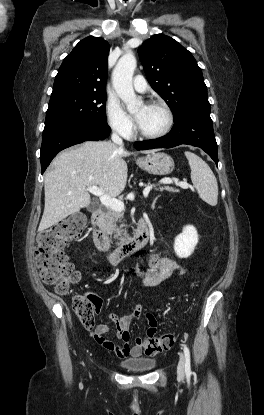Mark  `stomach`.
Segmentation results:
<instances>
[{
    "instance_id": "0dacf381",
    "label": "stomach",
    "mask_w": 264,
    "mask_h": 415,
    "mask_svg": "<svg viewBox=\"0 0 264 415\" xmlns=\"http://www.w3.org/2000/svg\"><path fill=\"white\" fill-rule=\"evenodd\" d=\"M136 164L143 170L154 175H167L174 169L173 159L166 153L154 152L137 159Z\"/></svg>"
}]
</instances>
